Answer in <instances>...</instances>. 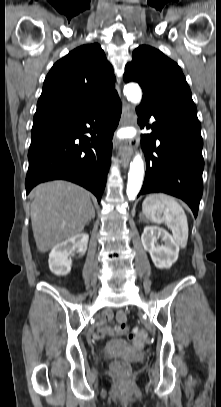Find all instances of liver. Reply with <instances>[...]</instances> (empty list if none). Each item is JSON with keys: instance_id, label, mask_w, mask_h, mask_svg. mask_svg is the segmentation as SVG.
<instances>
[{"instance_id": "obj_1", "label": "liver", "mask_w": 221, "mask_h": 407, "mask_svg": "<svg viewBox=\"0 0 221 407\" xmlns=\"http://www.w3.org/2000/svg\"><path fill=\"white\" fill-rule=\"evenodd\" d=\"M30 198L32 230L41 253L80 234L93 216L89 193L67 181L39 184Z\"/></svg>"}]
</instances>
